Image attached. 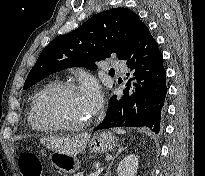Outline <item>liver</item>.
<instances>
[{
	"label": "liver",
	"mask_w": 205,
	"mask_h": 176,
	"mask_svg": "<svg viewBox=\"0 0 205 176\" xmlns=\"http://www.w3.org/2000/svg\"><path fill=\"white\" fill-rule=\"evenodd\" d=\"M89 139L90 134L86 133L68 139L44 138L41 140V142L55 152H62L68 155H77L85 149Z\"/></svg>",
	"instance_id": "obj_1"
}]
</instances>
